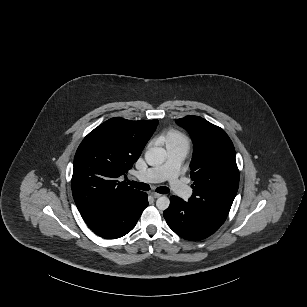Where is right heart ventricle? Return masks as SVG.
<instances>
[{"label":"right heart ventricle","instance_id":"e07e8e85","mask_svg":"<svg viewBox=\"0 0 307 307\" xmlns=\"http://www.w3.org/2000/svg\"><path fill=\"white\" fill-rule=\"evenodd\" d=\"M166 143L167 149H182L189 147L188 139L177 132H168L160 136Z\"/></svg>","mask_w":307,"mask_h":307}]
</instances>
